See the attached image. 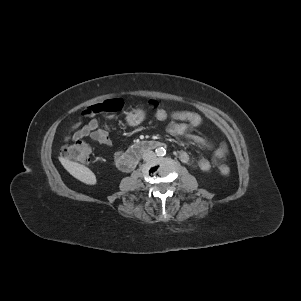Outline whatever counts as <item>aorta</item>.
I'll use <instances>...</instances> for the list:
<instances>
[{
    "label": "aorta",
    "instance_id": "obj_1",
    "mask_svg": "<svg viewBox=\"0 0 301 301\" xmlns=\"http://www.w3.org/2000/svg\"><path fill=\"white\" fill-rule=\"evenodd\" d=\"M155 153H156L157 156H164L166 154V150L163 147H158L155 150Z\"/></svg>",
    "mask_w": 301,
    "mask_h": 301
}]
</instances>
